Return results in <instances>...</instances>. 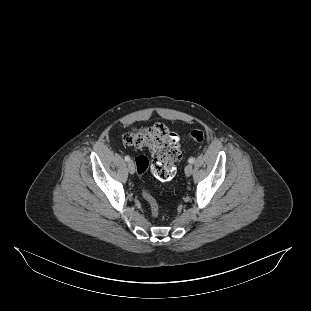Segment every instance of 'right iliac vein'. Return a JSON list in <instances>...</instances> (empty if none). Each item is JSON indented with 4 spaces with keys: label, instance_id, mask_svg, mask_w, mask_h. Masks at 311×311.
Instances as JSON below:
<instances>
[{
    "label": "right iliac vein",
    "instance_id": "63e3f726",
    "mask_svg": "<svg viewBox=\"0 0 311 311\" xmlns=\"http://www.w3.org/2000/svg\"><path fill=\"white\" fill-rule=\"evenodd\" d=\"M128 170L131 174H133L135 172V164L133 161H129L128 162Z\"/></svg>",
    "mask_w": 311,
    "mask_h": 311
}]
</instances>
